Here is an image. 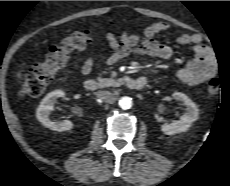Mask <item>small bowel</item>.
<instances>
[{
  "label": "small bowel",
  "mask_w": 230,
  "mask_h": 186,
  "mask_svg": "<svg viewBox=\"0 0 230 186\" xmlns=\"http://www.w3.org/2000/svg\"><path fill=\"white\" fill-rule=\"evenodd\" d=\"M170 29L166 22H155L145 27L143 35L122 32L115 35L108 33L106 38L111 48V54L107 64L112 65L129 55L151 56L160 59L173 57V50L168 45L159 43L155 37ZM181 45H190L192 57L185 66L177 71V78L189 87H194L212 79L218 70V62L214 52L200 44V38L196 34H180L176 38ZM93 70V59L86 55L81 66V73L89 76Z\"/></svg>",
  "instance_id": "1"
}]
</instances>
